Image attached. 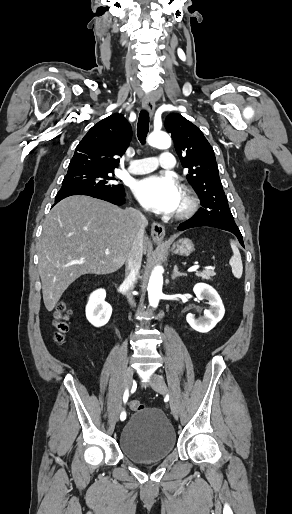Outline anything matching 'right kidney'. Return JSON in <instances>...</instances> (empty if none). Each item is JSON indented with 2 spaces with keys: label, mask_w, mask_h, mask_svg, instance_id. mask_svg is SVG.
Wrapping results in <instances>:
<instances>
[{
  "label": "right kidney",
  "mask_w": 292,
  "mask_h": 514,
  "mask_svg": "<svg viewBox=\"0 0 292 514\" xmlns=\"http://www.w3.org/2000/svg\"><path fill=\"white\" fill-rule=\"evenodd\" d=\"M105 290H96L89 298L86 306V318L93 326H105L112 314V306L105 302Z\"/></svg>",
  "instance_id": "1"
}]
</instances>
